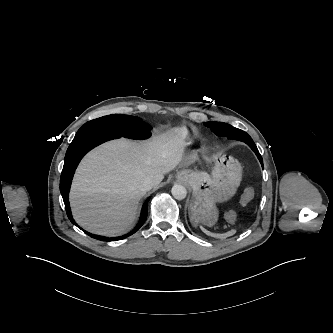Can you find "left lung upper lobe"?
I'll use <instances>...</instances> for the list:
<instances>
[{
  "instance_id": "1",
  "label": "left lung upper lobe",
  "mask_w": 333,
  "mask_h": 333,
  "mask_svg": "<svg viewBox=\"0 0 333 333\" xmlns=\"http://www.w3.org/2000/svg\"><path fill=\"white\" fill-rule=\"evenodd\" d=\"M205 125L209 127L217 136H227L230 139L244 141L245 143L246 139H251V137L246 132H243L242 130L226 123L206 122Z\"/></svg>"
}]
</instances>
